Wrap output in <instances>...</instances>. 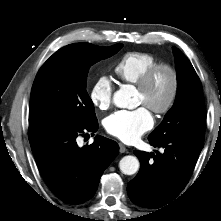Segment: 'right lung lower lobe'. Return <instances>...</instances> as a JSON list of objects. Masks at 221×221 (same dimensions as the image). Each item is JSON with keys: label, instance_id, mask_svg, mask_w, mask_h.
<instances>
[{"label": "right lung lower lobe", "instance_id": "obj_1", "mask_svg": "<svg viewBox=\"0 0 221 221\" xmlns=\"http://www.w3.org/2000/svg\"><path fill=\"white\" fill-rule=\"evenodd\" d=\"M97 129V121L84 127L59 122L29 127V141L40 173L52 192L66 203L89 200L103 171L118 154V144L103 136H96L89 146L78 147L79 135Z\"/></svg>", "mask_w": 221, "mask_h": 221}]
</instances>
